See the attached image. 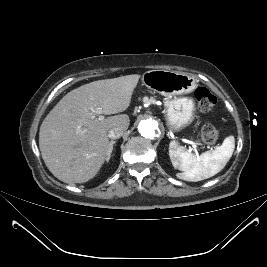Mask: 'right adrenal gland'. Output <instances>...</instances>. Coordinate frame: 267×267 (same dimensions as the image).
<instances>
[{"mask_svg":"<svg viewBox=\"0 0 267 267\" xmlns=\"http://www.w3.org/2000/svg\"><path fill=\"white\" fill-rule=\"evenodd\" d=\"M115 143H116L115 140H112V141L110 142V153H109V155H108L107 161H109V159H110V157H111V153H112V151H113V145H114Z\"/></svg>","mask_w":267,"mask_h":267,"instance_id":"obj_1","label":"right adrenal gland"}]
</instances>
